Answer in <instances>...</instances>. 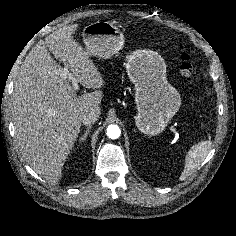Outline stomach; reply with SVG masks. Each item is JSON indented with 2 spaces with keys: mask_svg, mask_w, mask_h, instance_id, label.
I'll use <instances>...</instances> for the list:
<instances>
[{
  "mask_svg": "<svg viewBox=\"0 0 236 236\" xmlns=\"http://www.w3.org/2000/svg\"><path fill=\"white\" fill-rule=\"evenodd\" d=\"M89 56L108 59L123 48L124 35L110 22H95L83 30ZM127 74L134 84L139 131L149 136L162 133L181 105L180 94L166 77V64L155 51L139 49L127 57Z\"/></svg>",
  "mask_w": 236,
  "mask_h": 236,
  "instance_id": "stomach-1",
  "label": "stomach"
}]
</instances>
